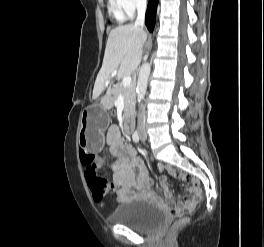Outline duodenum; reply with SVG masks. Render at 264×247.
Segmentation results:
<instances>
[{
	"label": "duodenum",
	"instance_id": "obj_1",
	"mask_svg": "<svg viewBox=\"0 0 264 247\" xmlns=\"http://www.w3.org/2000/svg\"><path fill=\"white\" fill-rule=\"evenodd\" d=\"M125 125L126 127L131 130L133 128V125H134V119H133V115L132 114H129L127 117H126V120H125Z\"/></svg>",
	"mask_w": 264,
	"mask_h": 247
}]
</instances>
